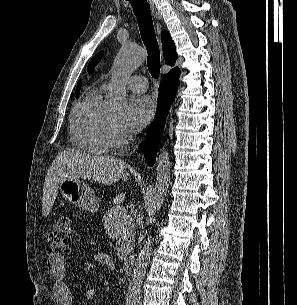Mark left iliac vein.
<instances>
[{"label":"left iliac vein","mask_w":297,"mask_h":305,"mask_svg":"<svg viewBox=\"0 0 297 305\" xmlns=\"http://www.w3.org/2000/svg\"><path fill=\"white\" fill-rule=\"evenodd\" d=\"M134 305H141L140 303L134 304Z\"/></svg>","instance_id":"left-iliac-vein-1"}]
</instances>
